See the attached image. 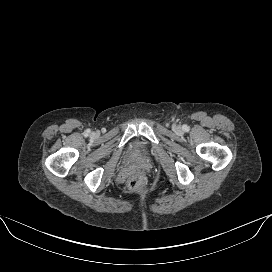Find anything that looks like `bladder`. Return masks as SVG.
Wrapping results in <instances>:
<instances>
[{"label":"bladder","instance_id":"bladder-1","mask_svg":"<svg viewBox=\"0 0 272 272\" xmlns=\"http://www.w3.org/2000/svg\"><path fill=\"white\" fill-rule=\"evenodd\" d=\"M150 146L142 140L132 141L127 148V158L130 161L145 160L151 156Z\"/></svg>","mask_w":272,"mask_h":272}]
</instances>
